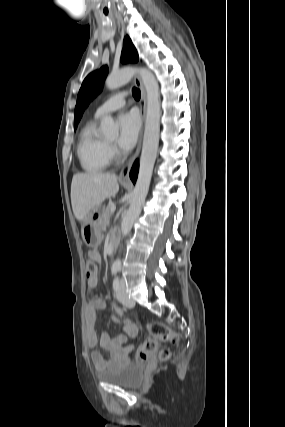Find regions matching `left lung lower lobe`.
I'll return each instance as SVG.
<instances>
[{"label": "left lung lower lobe", "mask_w": 285, "mask_h": 427, "mask_svg": "<svg viewBox=\"0 0 285 427\" xmlns=\"http://www.w3.org/2000/svg\"><path fill=\"white\" fill-rule=\"evenodd\" d=\"M138 170H139V164H138V161L136 160L130 172V178L133 181V183L136 182Z\"/></svg>", "instance_id": "1"}]
</instances>
